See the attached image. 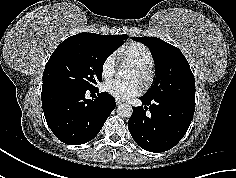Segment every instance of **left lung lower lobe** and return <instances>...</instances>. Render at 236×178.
Listing matches in <instances>:
<instances>
[{
	"mask_svg": "<svg viewBox=\"0 0 236 178\" xmlns=\"http://www.w3.org/2000/svg\"><path fill=\"white\" fill-rule=\"evenodd\" d=\"M144 106L133 107L128 129L144 150L164 152L174 147L187 132L195 103L140 97Z\"/></svg>",
	"mask_w": 236,
	"mask_h": 178,
	"instance_id": "obj_1",
	"label": "left lung lower lobe"
}]
</instances>
